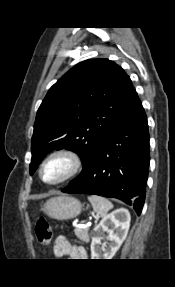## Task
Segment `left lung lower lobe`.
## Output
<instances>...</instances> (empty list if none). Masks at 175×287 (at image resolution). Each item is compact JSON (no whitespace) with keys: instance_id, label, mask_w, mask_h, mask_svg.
<instances>
[{"instance_id":"1","label":"left lung lower lobe","mask_w":175,"mask_h":287,"mask_svg":"<svg viewBox=\"0 0 175 287\" xmlns=\"http://www.w3.org/2000/svg\"><path fill=\"white\" fill-rule=\"evenodd\" d=\"M149 161L147 117L138 100L99 144L87 173L62 192L117 198L133 206L140 215Z\"/></svg>"}]
</instances>
